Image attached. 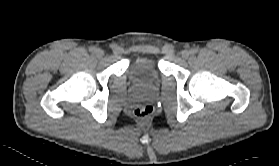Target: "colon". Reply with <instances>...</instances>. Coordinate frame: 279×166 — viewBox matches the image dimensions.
Returning a JSON list of instances; mask_svg holds the SVG:
<instances>
[{
	"label": "colon",
	"instance_id": "obj_1",
	"mask_svg": "<svg viewBox=\"0 0 279 166\" xmlns=\"http://www.w3.org/2000/svg\"><path fill=\"white\" fill-rule=\"evenodd\" d=\"M153 111L154 109L151 105H141L135 109L134 115L138 120L146 121L152 116Z\"/></svg>",
	"mask_w": 279,
	"mask_h": 166
}]
</instances>
